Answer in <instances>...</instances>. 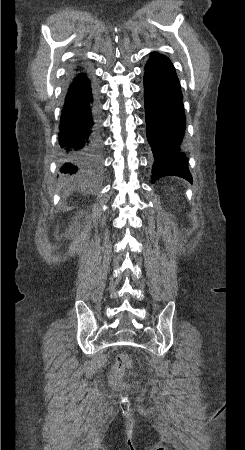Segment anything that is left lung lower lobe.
<instances>
[{
	"instance_id": "obj_1",
	"label": "left lung lower lobe",
	"mask_w": 245,
	"mask_h": 450,
	"mask_svg": "<svg viewBox=\"0 0 245 450\" xmlns=\"http://www.w3.org/2000/svg\"><path fill=\"white\" fill-rule=\"evenodd\" d=\"M146 128L153 150L151 181L175 175L192 182L183 149L186 116L183 94L175 68L168 57H151L144 74Z\"/></svg>"
}]
</instances>
